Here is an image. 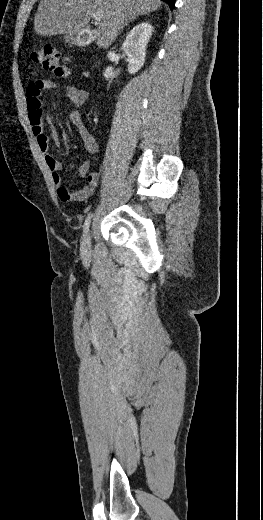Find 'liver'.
I'll return each mask as SVG.
<instances>
[{
	"instance_id": "1",
	"label": "liver",
	"mask_w": 263,
	"mask_h": 520,
	"mask_svg": "<svg viewBox=\"0 0 263 520\" xmlns=\"http://www.w3.org/2000/svg\"><path fill=\"white\" fill-rule=\"evenodd\" d=\"M161 0H41L34 18L38 35L79 33L95 12L102 13L97 43L106 48L129 21L161 7Z\"/></svg>"
}]
</instances>
